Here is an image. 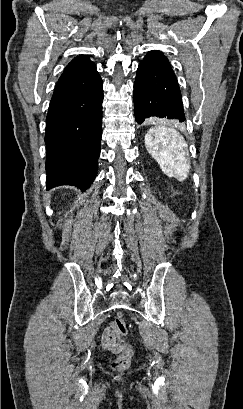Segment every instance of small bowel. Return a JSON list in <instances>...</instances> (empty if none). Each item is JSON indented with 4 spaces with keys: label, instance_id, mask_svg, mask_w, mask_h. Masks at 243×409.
<instances>
[{
    "label": "small bowel",
    "instance_id": "obj_1",
    "mask_svg": "<svg viewBox=\"0 0 243 409\" xmlns=\"http://www.w3.org/2000/svg\"><path fill=\"white\" fill-rule=\"evenodd\" d=\"M115 335L114 324L110 323L103 331L101 336V344L104 350L111 353H119L123 346L118 342Z\"/></svg>",
    "mask_w": 243,
    "mask_h": 409
}]
</instances>
